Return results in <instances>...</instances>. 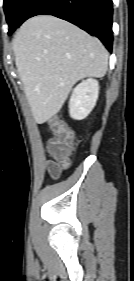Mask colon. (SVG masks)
Returning <instances> with one entry per match:
<instances>
[{
    "mask_svg": "<svg viewBox=\"0 0 134 281\" xmlns=\"http://www.w3.org/2000/svg\"><path fill=\"white\" fill-rule=\"evenodd\" d=\"M50 128L53 136L49 140L48 150L55 162L62 169H66L70 165V157L74 150V132L58 117H54L50 120Z\"/></svg>",
    "mask_w": 134,
    "mask_h": 281,
    "instance_id": "1",
    "label": "colon"
}]
</instances>
